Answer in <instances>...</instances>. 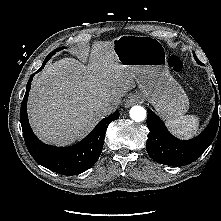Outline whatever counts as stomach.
<instances>
[{
	"instance_id": "stomach-1",
	"label": "stomach",
	"mask_w": 221,
	"mask_h": 221,
	"mask_svg": "<svg viewBox=\"0 0 221 221\" xmlns=\"http://www.w3.org/2000/svg\"><path fill=\"white\" fill-rule=\"evenodd\" d=\"M120 64L129 69L142 95L167 121L184 115L188 97L170 75L161 42L150 36L122 35L112 41Z\"/></svg>"
}]
</instances>
